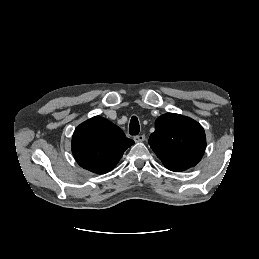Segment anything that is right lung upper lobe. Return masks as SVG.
<instances>
[{
  "mask_svg": "<svg viewBox=\"0 0 259 259\" xmlns=\"http://www.w3.org/2000/svg\"><path fill=\"white\" fill-rule=\"evenodd\" d=\"M133 144L118 126L95 116L75 129L72 153L82 168L102 174L112 170Z\"/></svg>",
  "mask_w": 259,
  "mask_h": 259,
  "instance_id": "right-lung-upper-lobe-1",
  "label": "right lung upper lobe"
}]
</instances>
